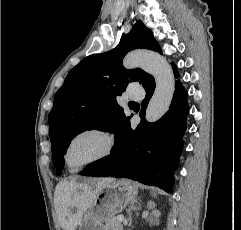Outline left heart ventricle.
Here are the masks:
<instances>
[{
	"label": "left heart ventricle",
	"mask_w": 241,
	"mask_h": 230,
	"mask_svg": "<svg viewBox=\"0 0 241 230\" xmlns=\"http://www.w3.org/2000/svg\"><path fill=\"white\" fill-rule=\"evenodd\" d=\"M106 147L103 137L97 134H85L76 138L70 145L67 160L71 168L101 154Z\"/></svg>",
	"instance_id": "b2bd125f"
}]
</instances>
